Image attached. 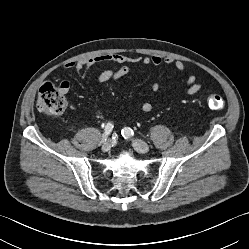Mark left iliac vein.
<instances>
[{
  "instance_id": "left-iliac-vein-1",
  "label": "left iliac vein",
  "mask_w": 249,
  "mask_h": 249,
  "mask_svg": "<svg viewBox=\"0 0 249 249\" xmlns=\"http://www.w3.org/2000/svg\"><path fill=\"white\" fill-rule=\"evenodd\" d=\"M132 145L134 149L139 153H147L149 151V146L142 140L134 139Z\"/></svg>"
}]
</instances>
